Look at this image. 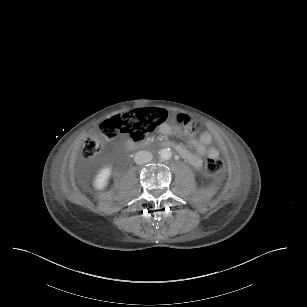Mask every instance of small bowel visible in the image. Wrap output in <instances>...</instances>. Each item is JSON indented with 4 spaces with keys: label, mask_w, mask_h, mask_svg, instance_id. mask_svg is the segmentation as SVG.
Segmentation results:
<instances>
[{
    "label": "small bowel",
    "mask_w": 307,
    "mask_h": 307,
    "mask_svg": "<svg viewBox=\"0 0 307 307\" xmlns=\"http://www.w3.org/2000/svg\"><path fill=\"white\" fill-rule=\"evenodd\" d=\"M160 131L165 135H172L174 133H179V129L173 128L170 125L164 124L160 127ZM213 141L212 135L205 131L202 132L199 138L190 137L188 139V146L195 150L196 153H192L187 148L174 144V149L179 153V155L187 160L193 167L200 168L202 165V160L200 155H207L209 157H214L219 155V150L215 147H211Z\"/></svg>",
    "instance_id": "1"
}]
</instances>
